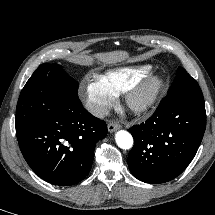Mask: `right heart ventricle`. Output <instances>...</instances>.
Masks as SVG:
<instances>
[{
    "label": "right heart ventricle",
    "mask_w": 215,
    "mask_h": 215,
    "mask_svg": "<svg viewBox=\"0 0 215 215\" xmlns=\"http://www.w3.org/2000/svg\"><path fill=\"white\" fill-rule=\"evenodd\" d=\"M149 71V66L120 67L107 70L98 77L110 91L119 95L144 78Z\"/></svg>",
    "instance_id": "obj_1"
}]
</instances>
